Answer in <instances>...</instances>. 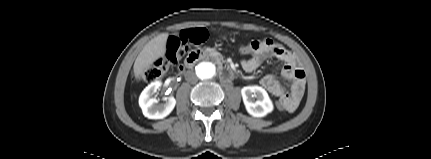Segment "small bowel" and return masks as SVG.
I'll return each mask as SVG.
<instances>
[{
  "instance_id": "c3829d8e",
  "label": "small bowel",
  "mask_w": 431,
  "mask_h": 159,
  "mask_svg": "<svg viewBox=\"0 0 431 159\" xmlns=\"http://www.w3.org/2000/svg\"><path fill=\"white\" fill-rule=\"evenodd\" d=\"M246 45L252 46V51L244 55L250 56L242 61V67L247 72L256 70L268 57H275L283 62L281 78L290 84L286 92L279 79L274 75H266L261 84L271 94L279 97L285 111H294L303 97L305 90V72L298 65L296 56L271 39L253 40Z\"/></svg>"
}]
</instances>
